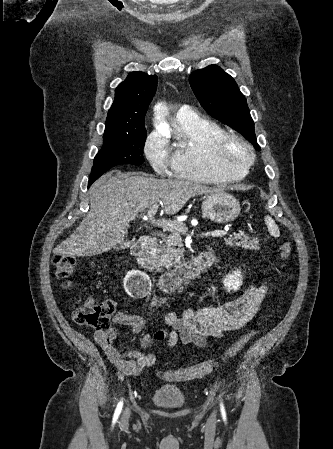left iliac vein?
I'll return each mask as SVG.
<instances>
[{
    "label": "left iliac vein",
    "instance_id": "4c4485c4",
    "mask_svg": "<svg viewBox=\"0 0 333 449\" xmlns=\"http://www.w3.org/2000/svg\"><path fill=\"white\" fill-rule=\"evenodd\" d=\"M212 417L214 418V417H215V414H213Z\"/></svg>",
    "mask_w": 333,
    "mask_h": 449
}]
</instances>
